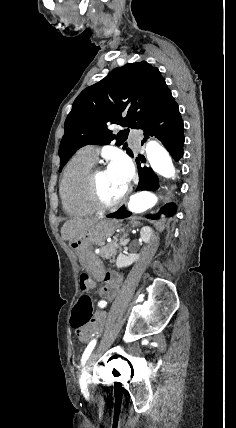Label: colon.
I'll list each match as a JSON object with an SVG mask.
<instances>
[{
  "label": "colon",
  "mask_w": 236,
  "mask_h": 428,
  "mask_svg": "<svg viewBox=\"0 0 236 428\" xmlns=\"http://www.w3.org/2000/svg\"><path fill=\"white\" fill-rule=\"evenodd\" d=\"M94 282L88 275H81L80 277V290L81 297L75 305L70 324L71 327L76 331L82 330L87 324L92 321L93 309L92 302L89 296V292L93 289Z\"/></svg>",
  "instance_id": "5ec220e1"
}]
</instances>
